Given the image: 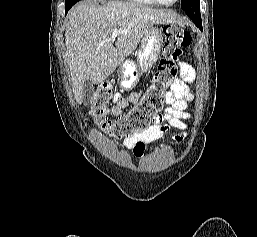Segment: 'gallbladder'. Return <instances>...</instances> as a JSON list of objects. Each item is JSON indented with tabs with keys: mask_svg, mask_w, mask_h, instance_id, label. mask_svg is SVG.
<instances>
[{
	"mask_svg": "<svg viewBox=\"0 0 257 237\" xmlns=\"http://www.w3.org/2000/svg\"><path fill=\"white\" fill-rule=\"evenodd\" d=\"M83 99L85 102H90L93 96V83L91 80H86L83 84Z\"/></svg>",
	"mask_w": 257,
	"mask_h": 237,
	"instance_id": "obj_1",
	"label": "gallbladder"
}]
</instances>
